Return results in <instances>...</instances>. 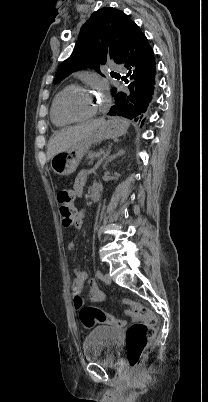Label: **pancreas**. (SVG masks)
<instances>
[{
  "instance_id": "cf45deb5",
  "label": "pancreas",
  "mask_w": 208,
  "mask_h": 402,
  "mask_svg": "<svg viewBox=\"0 0 208 402\" xmlns=\"http://www.w3.org/2000/svg\"><path fill=\"white\" fill-rule=\"evenodd\" d=\"M101 154H103L102 150H101V152H92V154H88L87 160H90L89 166H90V164H92V162H93V160H95V158H100Z\"/></svg>"
}]
</instances>
